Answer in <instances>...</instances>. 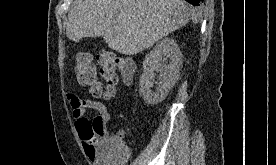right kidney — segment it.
Returning a JSON list of instances; mask_svg holds the SVG:
<instances>
[{"mask_svg": "<svg viewBox=\"0 0 276 165\" xmlns=\"http://www.w3.org/2000/svg\"><path fill=\"white\" fill-rule=\"evenodd\" d=\"M183 64V55L175 40L165 38L146 55L139 90L143 99L151 105L162 102L175 85ZM155 72L159 73V83L152 91Z\"/></svg>", "mask_w": 276, "mask_h": 165, "instance_id": "ca27d5eb", "label": "right kidney"}]
</instances>
